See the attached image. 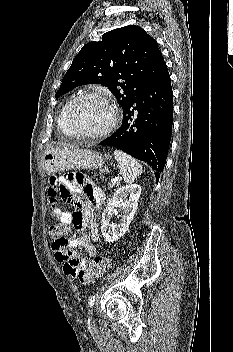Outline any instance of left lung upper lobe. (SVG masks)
<instances>
[{"mask_svg":"<svg viewBox=\"0 0 233 352\" xmlns=\"http://www.w3.org/2000/svg\"><path fill=\"white\" fill-rule=\"evenodd\" d=\"M166 67L155 39L139 26H124L82 47L55 96L80 85L101 84L123 109Z\"/></svg>","mask_w":233,"mask_h":352,"instance_id":"left-lung-upper-lobe-1","label":"left lung upper lobe"}]
</instances>
